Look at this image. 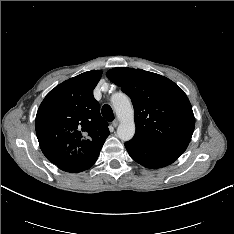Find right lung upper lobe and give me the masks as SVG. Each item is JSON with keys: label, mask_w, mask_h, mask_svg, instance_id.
Listing matches in <instances>:
<instances>
[{"label": "right lung upper lobe", "mask_w": 234, "mask_h": 234, "mask_svg": "<svg viewBox=\"0 0 234 234\" xmlns=\"http://www.w3.org/2000/svg\"><path fill=\"white\" fill-rule=\"evenodd\" d=\"M101 75V70H92L62 82L47 94L37 111L40 148L58 167L85 158L102 146L110 133L93 96Z\"/></svg>", "instance_id": "cb5924a9"}]
</instances>
